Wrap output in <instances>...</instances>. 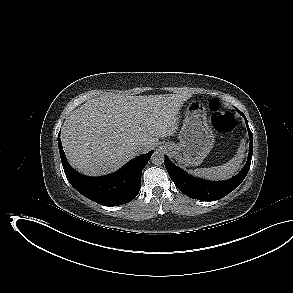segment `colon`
Masks as SVG:
<instances>
[{
	"label": "colon",
	"mask_w": 293,
	"mask_h": 293,
	"mask_svg": "<svg viewBox=\"0 0 293 293\" xmlns=\"http://www.w3.org/2000/svg\"><path fill=\"white\" fill-rule=\"evenodd\" d=\"M209 106L212 111L211 123L217 131L227 133L236 128V117L231 112L223 110L218 100H211Z\"/></svg>",
	"instance_id": "obj_1"
}]
</instances>
